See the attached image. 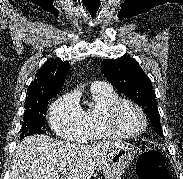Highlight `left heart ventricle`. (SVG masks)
I'll return each instance as SVG.
<instances>
[{
	"label": "left heart ventricle",
	"mask_w": 183,
	"mask_h": 179,
	"mask_svg": "<svg viewBox=\"0 0 183 179\" xmlns=\"http://www.w3.org/2000/svg\"><path fill=\"white\" fill-rule=\"evenodd\" d=\"M115 122L118 130L126 134L136 133L143 125L140 113L130 105H124L119 110Z\"/></svg>",
	"instance_id": "obj_1"
}]
</instances>
